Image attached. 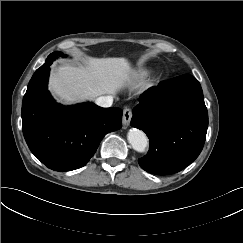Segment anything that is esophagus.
Segmentation results:
<instances>
[{
  "label": "esophagus",
  "instance_id": "obj_1",
  "mask_svg": "<svg viewBox=\"0 0 243 243\" xmlns=\"http://www.w3.org/2000/svg\"><path fill=\"white\" fill-rule=\"evenodd\" d=\"M132 118V111L130 108H125L123 110V117H122V123L124 126H128L130 124Z\"/></svg>",
  "mask_w": 243,
  "mask_h": 243
}]
</instances>
